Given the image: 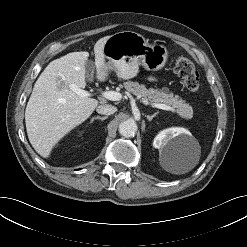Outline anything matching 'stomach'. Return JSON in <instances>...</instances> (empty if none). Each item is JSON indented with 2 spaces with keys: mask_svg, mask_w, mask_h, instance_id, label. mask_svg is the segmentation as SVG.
<instances>
[{
  "mask_svg": "<svg viewBox=\"0 0 247 247\" xmlns=\"http://www.w3.org/2000/svg\"><path fill=\"white\" fill-rule=\"evenodd\" d=\"M103 51L108 60L107 68L113 69L122 79L135 77L140 65L149 71L162 69L169 55L164 45H151L141 34L133 31L111 35Z\"/></svg>",
  "mask_w": 247,
  "mask_h": 247,
  "instance_id": "stomach-1",
  "label": "stomach"
}]
</instances>
